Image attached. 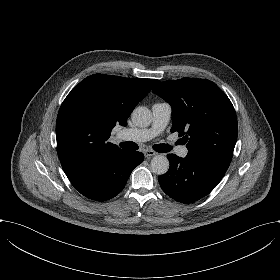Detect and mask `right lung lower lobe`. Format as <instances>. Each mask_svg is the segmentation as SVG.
I'll return each instance as SVG.
<instances>
[{"instance_id":"obj_1","label":"right lung lower lobe","mask_w":280,"mask_h":280,"mask_svg":"<svg viewBox=\"0 0 280 280\" xmlns=\"http://www.w3.org/2000/svg\"><path fill=\"white\" fill-rule=\"evenodd\" d=\"M143 160L141 152H124L94 170L85 187L75 189L91 200H109L123 190L131 172Z\"/></svg>"}]
</instances>
